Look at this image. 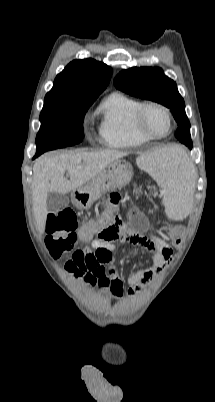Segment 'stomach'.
<instances>
[{
  "instance_id": "obj_1",
  "label": "stomach",
  "mask_w": 215,
  "mask_h": 402,
  "mask_svg": "<svg viewBox=\"0 0 215 402\" xmlns=\"http://www.w3.org/2000/svg\"><path fill=\"white\" fill-rule=\"evenodd\" d=\"M133 167L124 160L112 162L85 186L71 194L73 204L81 210L89 209L92 204L110 190L126 186L132 179Z\"/></svg>"
}]
</instances>
